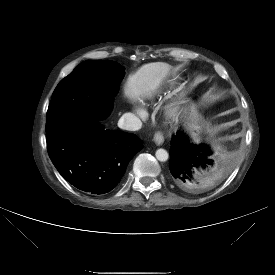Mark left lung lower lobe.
<instances>
[{"label": "left lung lower lobe", "instance_id": "obj_1", "mask_svg": "<svg viewBox=\"0 0 275 275\" xmlns=\"http://www.w3.org/2000/svg\"><path fill=\"white\" fill-rule=\"evenodd\" d=\"M209 149L205 145L199 147L189 144L182 133L177 132L171 140L169 168L172 180L183 189L195 187L192 183V170L206 168L212 163L206 155Z\"/></svg>", "mask_w": 275, "mask_h": 275}]
</instances>
